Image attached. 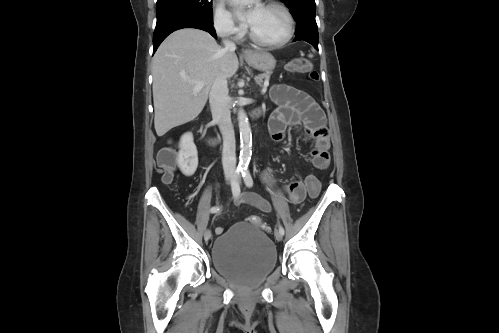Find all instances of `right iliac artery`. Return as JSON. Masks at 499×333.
Segmentation results:
<instances>
[{"mask_svg": "<svg viewBox=\"0 0 499 333\" xmlns=\"http://www.w3.org/2000/svg\"><path fill=\"white\" fill-rule=\"evenodd\" d=\"M242 171V169H237L236 170V173L233 177V180H232V183H231V187H232V195L234 198L238 197L239 194H240V186H239V183H238V180H237V176L239 175V173ZM220 210L219 207L217 206H214L210 209V212L211 213H218Z\"/></svg>", "mask_w": 499, "mask_h": 333, "instance_id": "1", "label": "right iliac artery"}]
</instances>
